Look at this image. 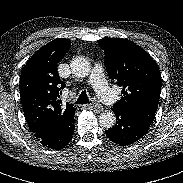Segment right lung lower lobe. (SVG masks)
<instances>
[{
  "label": "right lung lower lobe",
  "instance_id": "obj_1",
  "mask_svg": "<svg viewBox=\"0 0 183 183\" xmlns=\"http://www.w3.org/2000/svg\"><path fill=\"white\" fill-rule=\"evenodd\" d=\"M73 132L74 123L66 130L46 131L41 129L35 132L34 135L43 146L51 149H60L71 141Z\"/></svg>",
  "mask_w": 183,
  "mask_h": 183
}]
</instances>
